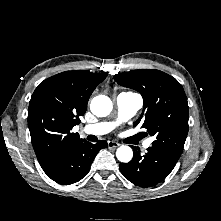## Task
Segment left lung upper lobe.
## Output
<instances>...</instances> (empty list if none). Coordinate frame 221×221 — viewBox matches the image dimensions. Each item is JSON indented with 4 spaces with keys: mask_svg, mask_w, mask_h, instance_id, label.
Returning <instances> with one entry per match:
<instances>
[{
    "mask_svg": "<svg viewBox=\"0 0 221 221\" xmlns=\"http://www.w3.org/2000/svg\"><path fill=\"white\" fill-rule=\"evenodd\" d=\"M114 79L142 95L144 109L134 125L141 122L155 137L153 147L181 156L189 129V107L182 85L174 77L153 69L115 74Z\"/></svg>",
    "mask_w": 221,
    "mask_h": 221,
    "instance_id": "1",
    "label": "left lung upper lobe"
}]
</instances>
